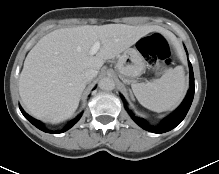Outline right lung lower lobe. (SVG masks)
Wrapping results in <instances>:
<instances>
[{"mask_svg":"<svg viewBox=\"0 0 219 174\" xmlns=\"http://www.w3.org/2000/svg\"><path fill=\"white\" fill-rule=\"evenodd\" d=\"M20 110H21L22 114L24 115V117L30 123H32L38 129H40V130H42L44 132H47V133H62V132L67 131L68 129H70L81 118V115H82V113H81L79 116H77V118L73 119L69 124H67V126L65 128H63V129H61L59 131H50V130L46 129L40 121L32 118L27 113H25L24 110L21 107H20Z\"/></svg>","mask_w":219,"mask_h":174,"instance_id":"obj_1","label":"right lung lower lobe"}]
</instances>
